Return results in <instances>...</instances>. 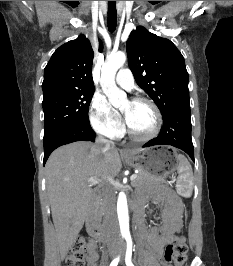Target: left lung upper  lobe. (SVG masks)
Segmentation results:
<instances>
[{"label": "left lung upper lobe", "instance_id": "5c2ea615", "mask_svg": "<svg viewBox=\"0 0 233 266\" xmlns=\"http://www.w3.org/2000/svg\"><path fill=\"white\" fill-rule=\"evenodd\" d=\"M126 50L137 84L153 99L162 116L171 107L189 101L185 61L170 40L139 26L131 32Z\"/></svg>", "mask_w": 233, "mask_h": 266}]
</instances>
